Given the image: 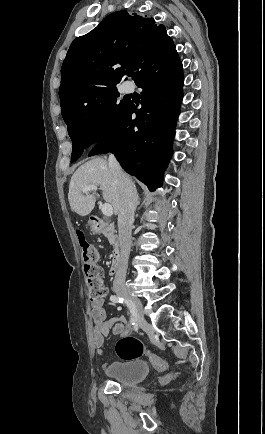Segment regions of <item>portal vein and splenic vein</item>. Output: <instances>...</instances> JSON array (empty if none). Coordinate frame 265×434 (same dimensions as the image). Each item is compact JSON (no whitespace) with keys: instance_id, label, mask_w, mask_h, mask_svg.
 I'll use <instances>...</instances> for the list:
<instances>
[{"instance_id":"18ae733b","label":"portal vein and splenic vein","mask_w":265,"mask_h":434,"mask_svg":"<svg viewBox=\"0 0 265 434\" xmlns=\"http://www.w3.org/2000/svg\"><path fill=\"white\" fill-rule=\"evenodd\" d=\"M96 190H98L97 186H85V188H82V192H96ZM102 214L104 216H112L113 208L111 204H103Z\"/></svg>"}]
</instances>
